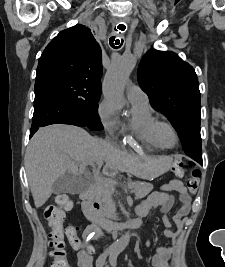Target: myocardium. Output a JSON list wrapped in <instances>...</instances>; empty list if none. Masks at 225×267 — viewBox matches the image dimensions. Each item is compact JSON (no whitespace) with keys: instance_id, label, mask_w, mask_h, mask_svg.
Wrapping results in <instances>:
<instances>
[{"instance_id":"f54148a6","label":"myocardium","mask_w":225,"mask_h":267,"mask_svg":"<svg viewBox=\"0 0 225 267\" xmlns=\"http://www.w3.org/2000/svg\"><path fill=\"white\" fill-rule=\"evenodd\" d=\"M164 128H169L173 132L174 137H175L174 144L168 145L163 141L162 130ZM154 130H155L156 138H157L159 144L163 148H173L178 144V142H179V134H178V131H177L175 125L171 121L164 120V119H157L156 122H155Z\"/></svg>"}]
</instances>
